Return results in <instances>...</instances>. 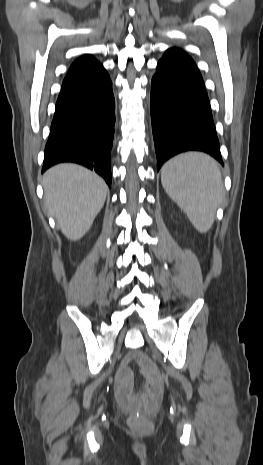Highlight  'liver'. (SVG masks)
<instances>
[{
	"label": "liver",
	"instance_id": "liver-1",
	"mask_svg": "<svg viewBox=\"0 0 263 465\" xmlns=\"http://www.w3.org/2000/svg\"><path fill=\"white\" fill-rule=\"evenodd\" d=\"M47 209L58 228L72 241L82 238L102 209L108 187L96 173L64 163L48 169L43 178Z\"/></svg>",
	"mask_w": 263,
	"mask_h": 465
}]
</instances>
